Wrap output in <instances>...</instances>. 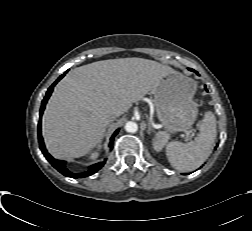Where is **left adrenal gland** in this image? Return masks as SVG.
Here are the masks:
<instances>
[{"instance_id": "1", "label": "left adrenal gland", "mask_w": 252, "mask_h": 231, "mask_svg": "<svg viewBox=\"0 0 252 231\" xmlns=\"http://www.w3.org/2000/svg\"><path fill=\"white\" fill-rule=\"evenodd\" d=\"M152 131H153V129H152L151 123L149 121L148 122V131H147V133L150 135Z\"/></svg>"}]
</instances>
